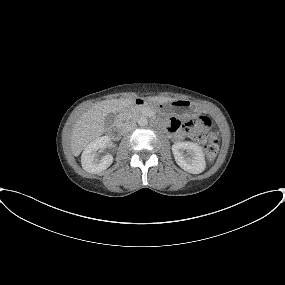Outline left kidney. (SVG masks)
Returning <instances> with one entry per match:
<instances>
[{
	"mask_svg": "<svg viewBox=\"0 0 285 285\" xmlns=\"http://www.w3.org/2000/svg\"><path fill=\"white\" fill-rule=\"evenodd\" d=\"M172 153L176 163L189 173L199 174L206 168L204 153L196 143L177 142L172 145Z\"/></svg>",
	"mask_w": 285,
	"mask_h": 285,
	"instance_id": "left-kidney-1",
	"label": "left kidney"
}]
</instances>
